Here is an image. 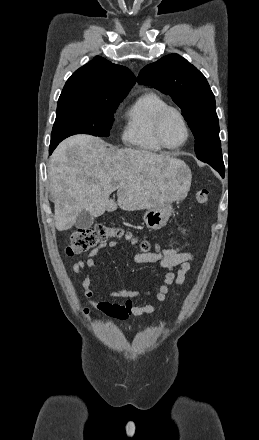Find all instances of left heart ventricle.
I'll list each match as a JSON object with an SVG mask.
<instances>
[{
	"label": "left heart ventricle",
	"mask_w": 259,
	"mask_h": 440,
	"mask_svg": "<svg viewBox=\"0 0 259 440\" xmlns=\"http://www.w3.org/2000/svg\"><path fill=\"white\" fill-rule=\"evenodd\" d=\"M162 136L166 144L175 146L184 141L185 128L175 113H169L162 125Z\"/></svg>",
	"instance_id": "obj_1"
}]
</instances>
